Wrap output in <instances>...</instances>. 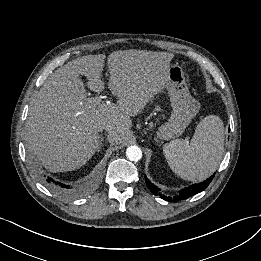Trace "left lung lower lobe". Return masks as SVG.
<instances>
[{"label":"left lung lower lobe","mask_w":261,"mask_h":261,"mask_svg":"<svg viewBox=\"0 0 261 261\" xmlns=\"http://www.w3.org/2000/svg\"><path fill=\"white\" fill-rule=\"evenodd\" d=\"M213 177H214V174L201 183L193 184L191 186H188V187L180 190L179 195L174 196V197H166V196L162 197V195L160 194V189L156 185L152 184L146 176H145V181H146L148 188L154 195H156V196L160 195L166 201L177 202L180 200L187 199L197 193H200L204 189H206L207 186L212 181Z\"/></svg>","instance_id":"1"}]
</instances>
